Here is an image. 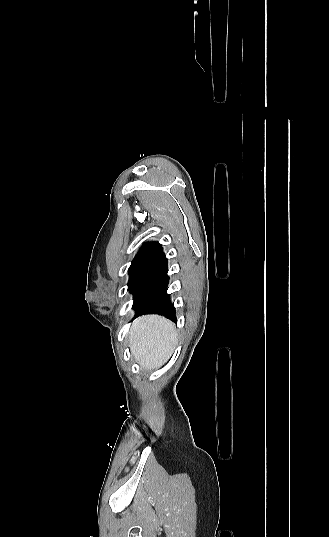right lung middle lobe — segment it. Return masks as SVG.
I'll return each mask as SVG.
<instances>
[{
	"label": "right lung middle lobe",
	"instance_id": "1",
	"mask_svg": "<svg viewBox=\"0 0 329 537\" xmlns=\"http://www.w3.org/2000/svg\"><path fill=\"white\" fill-rule=\"evenodd\" d=\"M148 265L144 264H133L129 267L128 273H129V281H128V290H130L131 286L135 282V280L138 278V276L147 268Z\"/></svg>",
	"mask_w": 329,
	"mask_h": 537
}]
</instances>
